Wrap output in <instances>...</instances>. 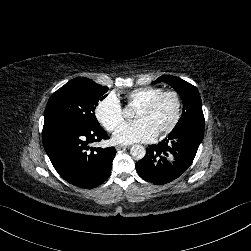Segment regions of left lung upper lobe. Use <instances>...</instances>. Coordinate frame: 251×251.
Segmentation results:
<instances>
[{
	"label": "left lung upper lobe",
	"mask_w": 251,
	"mask_h": 251,
	"mask_svg": "<svg viewBox=\"0 0 251 251\" xmlns=\"http://www.w3.org/2000/svg\"><path fill=\"white\" fill-rule=\"evenodd\" d=\"M159 82H165L171 85L183 101L182 116L171 132L179 129L204 131L205 123L202 102L197 88L178 77L170 75H163L154 81V83Z\"/></svg>",
	"instance_id": "left-lung-upper-lobe-1"
}]
</instances>
